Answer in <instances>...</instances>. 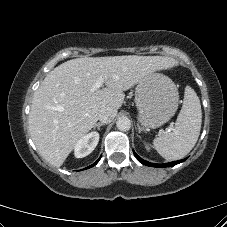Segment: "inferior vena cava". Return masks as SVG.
I'll use <instances>...</instances> for the list:
<instances>
[{
  "label": "inferior vena cava",
  "instance_id": "inferior-vena-cava-1",
  "mask_svg": "<svg viewBox=\"0 0 227 227\" xmlns=\"http://www.w3.org/2000/svg\"><path fill=\"white\" fill-rule=\"evenodd\" d=\"M116 114H117V111L112 108H109V107L103 108L99 112L98 120L101 123L107 124V123H110L114 119Z\"/></svg>",
  "mask_w": 227,
  "mask_h": 227
}]
</instances>
